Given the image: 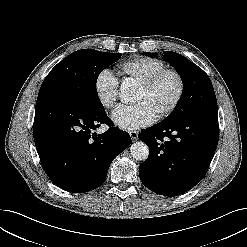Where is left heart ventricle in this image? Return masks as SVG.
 I'll return each instance as SVG.
<instances>
[{"label":"left heart ventricle","instance_id":"obj_1","mask_svg":"<svg viewBox=\"0 0 247 247\" xmlns=\"http://www.w3.org/2000/svg\"><path fill=\"white\" fill-rule=\"evenodd\" d=\"M178 90V81L172 74L164 75L155 85L149 89L139 86L135 94L134 102L146 101L156 111L160 113L174 99Z\"/></svg>","mask_w":247,"mask_h":247}]
</instances>
